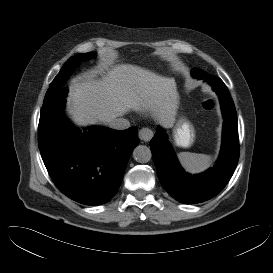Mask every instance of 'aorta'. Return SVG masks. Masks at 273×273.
<instances>
[{
	"label": "aorta",
	"instance_id": "aorta-1",
	"mask_svg": "<svg viewBox=\"0 0 273 273\" xmlns=\"http://www.w3.org/2000/svg\"><path fill=\"white\" fill-rule=\"evenodd\" d=\"M133 158L139 163H147L152 158V153L149 147L139 145L133 150Z\"/></svg>",
	"mask_w": 273,
	"mask_h": 273
}]
</instances>
